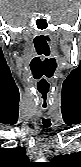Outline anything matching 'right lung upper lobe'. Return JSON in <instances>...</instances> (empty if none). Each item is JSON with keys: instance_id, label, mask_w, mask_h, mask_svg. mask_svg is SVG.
I'll use <instances>...</instances> for the list:
<instances>
[{"instance_id": "right-lung-upper-lobe-1", "label": "right lung upper lobe", "mask_w": 81, "mask_h": 167, "mask_svg": "<svg viewBox=\"0 0 81 167\" xmlns=\"http://www.w3.org/2000/svg\"><path fill=\"white\" fill-rule=\"evenodd\" d=\"M21 146L0 149V167H33Z\"/></svg>"}]
</instances>
